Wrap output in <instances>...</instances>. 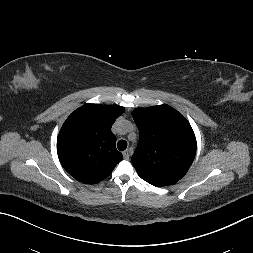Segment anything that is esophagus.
<instances>
[{"mask_svg":"<svg viewBox=\"0 0 253 253\" xmlns=\"http://www.w3.org/2000/svg\"><path fill=\"white\" fill-rule=\"evenodd\" d=\"M130 155H131V150L130 149H127L123 152V157L124 159L128 160L130 158Z\"/></svg>","mask_w":253,"mask_h":253,"instance_id":"obj_1","label":"esophagus"}]
</instances>
